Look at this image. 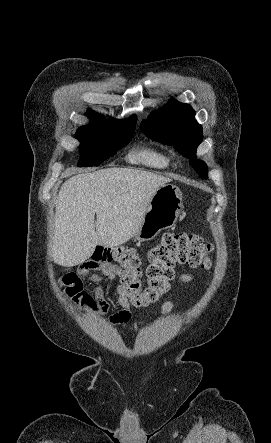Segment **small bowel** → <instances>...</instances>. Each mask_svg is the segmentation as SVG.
<instances>
[{
  "label": "small bowel",
  "mask_w": 271,
  "mask_h": 443,
  "mask_svg": "<svg viewBox=\"0 0 271 443\" xmlns=\"http://www.w3.org/2000/svg\"><path fill=\"white\" fill-rule=\"evenodd\" d=\"M100 271L102 274H95ZM120 268L111 264L96 263L92 260L82 264L78 272L69 273L62 277L60 285L65 286V296L71 301L77 309H84L93 315L105 314L109 309V302L104 294V285L113 282L120 275ZM82 277H89L92 283L94 295H90L83 290ZM182 282H189L192 275L185 273L181 275ZM118 300L123 310L110 318L115 324H123L129 321L130 312L129 301L119 293L117 288ZM173 309V303L167 301L162 306V315H168Z\"/></svg>",
  "instance_id": "small-bowel-1"
}]
</instances>
